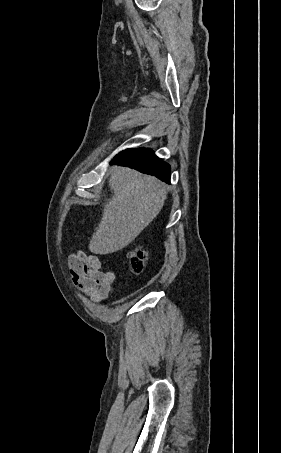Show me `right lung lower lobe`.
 <instances>
[{
  "mask_svg": "<svg viewBox=\"0 0 281 453\" xmlns=\"http://www.w3.org/2000/svg\"><path fill=\"white\" fill-rule=\"evenodd\" d=\"M111 164L134 168L170 183V166L154 155L151 149H126L116 155Z\"/></svg>",
  "mask_w": 281,
  "mask_h": 453,
  "instance_id": "98d812e1",
  "label": "right lung lower lobe"
}]
</instances>
